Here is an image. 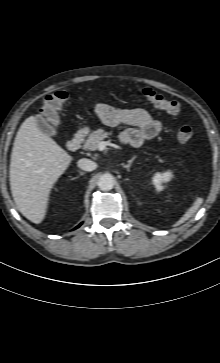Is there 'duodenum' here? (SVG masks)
I'll return each instance as SVG.
<instances>
[{
	"mask_svg": "<svg viewBox=\"0 0 220 363\" xmlns=\"http://www.w3.org/2000/svg\"><path fill=\"white\" fill-rule=\"evenodd\" d=\"M86 135L87 129L82 128L78 130L75 135L67 142V148L71 151L79 149Z\"/></svg>",
	"mask_w": 220,
	"mask_h": 363,
	"instance_id": "duodenum-1",
	"label": "duodenum"
}]
</instances>
